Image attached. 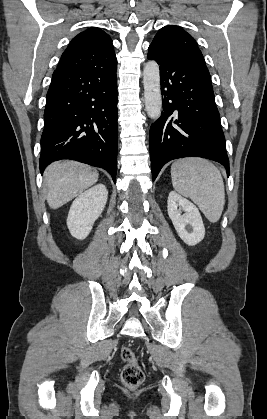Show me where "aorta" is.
<instances>
[{
    "mask_svg": "<svg viewBox=\"0 0 267 419\" xmlns=\"http://www.w3.org/2000/svg\"><path fill=\"white\" fill-rule=\"evenodd\" d=\"M145 109L148 116L157 120L161 115L162 97L160 71L155 61H148L143 70Z\"/></svg>",
    "mask_w": 267,
    "mask_h": 419,
    "instance_id": "obj_1",
    "label": "aorta"
}]
</instances>
